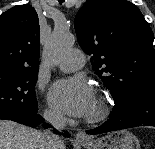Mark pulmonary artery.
I'll return each mask as SVG.
<instances>
[{"label": "pulmonary artery", "mask_w": 155, "mask_h": 149, "mask_svg": "<svg viewBox=\"0 0 155 149\" xmlns=\"http://www.w3.org/2000/svg\"><path fill=\"white\" fill-rule=\"evenodd\" d=\"M84 53L79 49L68 51L57 63L60 70L72 72L84 65Z\"/></svg>", "instance_id": "e3ab8cb5"}]
</instances>
